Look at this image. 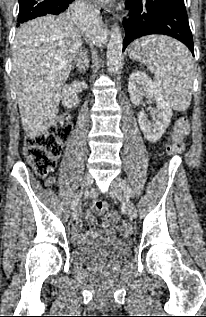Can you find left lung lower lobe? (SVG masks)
Returning <instances> with one entry per match:
<instances>
[{
  "mask_svg": "<svg viewBox=\"0 0 206 317\" xmlns=\"http://www.w3.org/2000/svg\"><path fill=\"white\" fill-rule=\"evenodd\" d=\"M130 10L123 19L125 39L123 50L134 39L149 34L172 36L184 43L194 54V45L184 1L182 0H126Z\"/></svg>",
  "mask_w": 206,
  "mask_h": 317,
  "instance_id": "left-lung-lower-lobe-1",
  "label": "left lung lower lobe"
}]
</instances>
